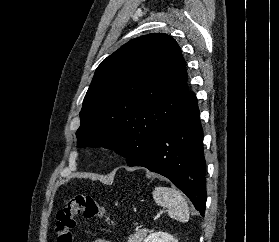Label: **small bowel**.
<instances>
[{
  "label": "small bowel",
  "instance_id": "c3829d8e",
  "mask_svg": "<svg viewBox=\"0 0 279 242\" xmlns=\"http://www.w3.org/2000/svg\"><path fill=\"white\" fill-rule=\"evenodd\" d=\"M91 242H111V241H108V240L102 239V238H97V239L92 240Z\"/></svg>",
  "mask_w": 279,
  "mask_h": 242
}]
</instances>
